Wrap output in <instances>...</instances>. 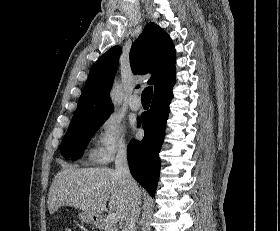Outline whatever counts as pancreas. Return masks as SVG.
<instances>
[{
  "label": "pancreas",
  "mask_w": 280,
  "mask_h": 231,
  "mask_svg": "<svg viewBox=\"0 0 280 231\" xmlns=\"http://www.w3.org/2000/svg\"><path fill=\"white\" fill-rule=\"evenodd\" d=\"M102 227L105 231H118L117 225H115V223H110V221H106V219H102Z\"/></svg>",
  "instance_id": "1"
}]
</instances>
